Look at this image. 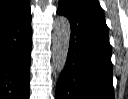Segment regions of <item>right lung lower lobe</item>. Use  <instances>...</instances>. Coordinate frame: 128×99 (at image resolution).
<instances>
[{"instance_id": "1", "label": "right lung lower lobe", "mask_w": 128, "mask_h": 99, "mask_svg": "<svg viewBox=\"0 0 128 99\" xmlns=\"http://www.w3.org/2000/svg\"><path fill=\"white\" fill-rule=\"evenodd\" d=\"M30 7L0 27V99H29Z\"/></svg>"}]
</instances>
